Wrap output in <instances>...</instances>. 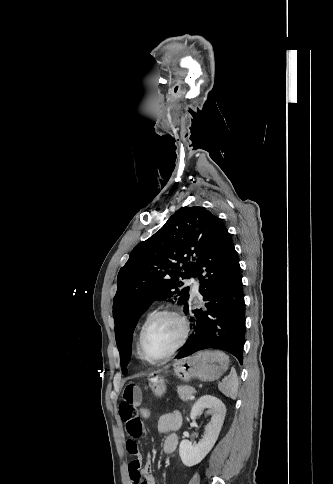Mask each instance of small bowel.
<instances>
[{
  "label": "small bowel",
  "instance_id": "c3829d8e",
  "mask_svg": "<svg viewBox=\"0 0 333 484\" xmlns=\"http://www.w3.org/2000/svg\"><path fill=\"white\" fill-rule=\"evenodd\" d=\"M142 402V392L135 384L127 385L122 393L119 405V416L126 425L129 439L126 442L127 451L134 459L129 463L131 484H155L152 464L147 461L142 465V457L137 440L146 434L145 426L138 417L137 409ZM182 424L180 412L173 411L162 415L157 423L158 431L165 434L163 449L165 453H173L179 443L175 433Z\"/></svg>",
  "mask_w": 333,
  "mask_h": 484
}]
</instances>
